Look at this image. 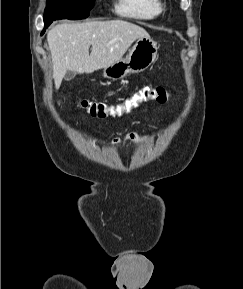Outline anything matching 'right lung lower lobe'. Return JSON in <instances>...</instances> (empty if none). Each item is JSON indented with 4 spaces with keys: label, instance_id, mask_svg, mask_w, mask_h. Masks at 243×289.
Listing matches in <instances>:
<instances>
[{
    "label": "right lung lower lobe",
    "instance_id": "obj_1",
    "mask_svg": "<svg viewBox=\"0 0 243 289\" xmlns=\"http://www.w3.org/2000/svg\"><path fill=\"white\" fill-rule=\"evenodd\" d=\"M45 22V28L42 31V34L44 33L45 29L52 23V21H44Z\"/></svg>",
    "mask_w": 243,
    "mask_h": 289
}]
</instances>
